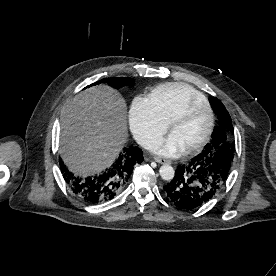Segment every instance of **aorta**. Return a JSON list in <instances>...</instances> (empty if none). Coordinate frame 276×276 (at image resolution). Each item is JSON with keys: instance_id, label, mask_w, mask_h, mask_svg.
Listing matches in <instances>:
<instances>
[{"instance_id": "1", "label": "aorta", "mask_w": 276, "mask_h": 276, "mask_svg": "<svg viewBox=\"0 0 276 276\" xmlns=\"http://www.w3.org/2000/svg\"><path fill=\"white\" fill-rule=\"evenodd\" d=\"M161 178L165 181H170L174 178L175 170L170 165H162L159 169Z\"/></svg>"}]
</instances>
